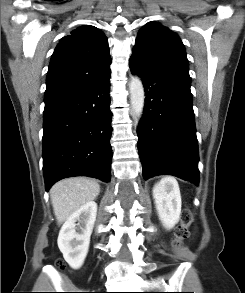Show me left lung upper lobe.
<instances>
[{
  "label": "left lung upper lobe",
  "mask_w": 245,
  "mask_h": 293,
  "mask_svg": "<svg viewBox=\"0 0 245 293\" xmlns=\"http://www.w3.org/2000/svg\"><path fill=\"white\" fill-rule=\"evenodd\" d=\"M132 56L191 81L182 41L161 24L149 23L139 31Z\"/></svg>",
  "instance_id": "obj_1"
}]
</instances>
